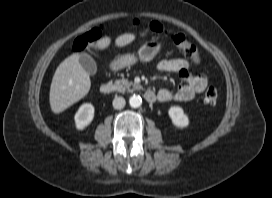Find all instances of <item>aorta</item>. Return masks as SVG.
Instances as JSON below:
<instances>
[{"label": "aorta", "instance_id": "762f6f07", "mask_svg": "<svg viewBox=\"0 0 272 198\" xmlns=\"http://www.w3.org/2000/svg\"><path fill=\"white\" fill-rule=\"evenodd\" d=\"M129 104L132 108H138L142 104V98L134 94L129 98Z\"/></svg>", "mask_w": 272, "mask_h": 198}]
</instances>
